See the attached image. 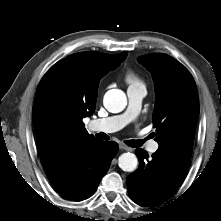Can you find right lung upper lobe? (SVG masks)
Listing matches in <instances>:
<instances>
[{
  "mask_svg": "<svg viewBox=\"0 0 221 221\" xmlns=\"http://www.w3.org/2000/svg\"><path fill=\"white\" fill-rule=\"evenodd\" d=\"M126 57V52L75 53L47 71L38 85L32 110L41 159L96 140L82 119L95 110L100 78Z\"/></svg>",
  "mask_w": 221,
  "mask_h": 221,
  "instance_id": "right-lung-upper-lobe-1",
  "label": "right lung upper lobe"
}]
</instances>
